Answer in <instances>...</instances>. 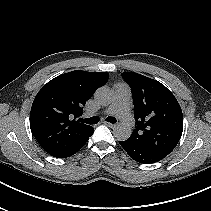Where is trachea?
<instances>
[{"instance_id":"trachea-1","label":"trachea","mask_w":211,"mask_h":211,"mask_svg":"<svg viewBox=\"0 0 211 211\" xmlns=\"http://www.w3.org/2000/svg\"><path fill=\"white\" fill-rule=\"evenodd\" d=\"M80 121L83 122V123H87V124L93 125V124H97L99 122V117L98 116H94V117H91V118L80 119ZM106 121L110 122L112 124L117 122V120L114 117H107Z\"/></svg>"}]
</instances>
